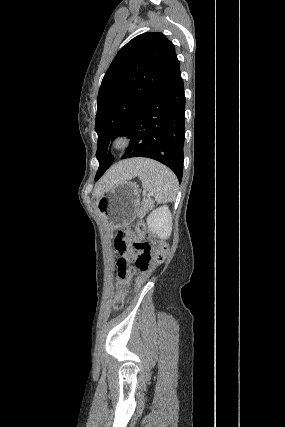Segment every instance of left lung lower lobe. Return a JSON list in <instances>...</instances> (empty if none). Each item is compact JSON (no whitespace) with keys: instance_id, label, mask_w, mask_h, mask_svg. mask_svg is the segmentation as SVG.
Listing matches in <instances>:
<instances>
[{"instance_id":"obj_1","label":"left lung lower lobe","mask_w":285,"mask_h":427,"mask_svg":"<svg viewBox=\"0 0 285 427\" xmlns=\"http://www.w3.org/2000/svg\"><path fill=\"white\" fill-rule=\"evenodd\" d=\"M185 96L179 61L132 121L122 159L147 157L168 166L181 182L185 140Z\"/></svg>"}]
</instances>
